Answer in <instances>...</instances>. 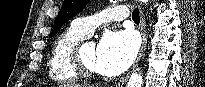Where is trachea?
I'll return each mask as SVG.
<instances>
[{"label":"trachea","mask_w":205,"mask_h":87,"mask_svg":"<svg viewBox=\"0 0 205 87\" xmlns=\"http://www.w3.org/2000/svg\"><path fill=\"white\" fill-rule=\"evenodd\" d=\"M132 19L135 21V22H140V16H139V9L138 8H135L134 11L132 12Z\"/></svg>","instance_id":"obj_1"}]
</instances>
